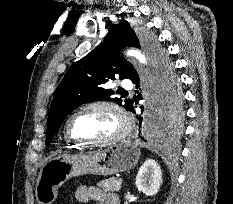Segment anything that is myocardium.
<instances>
[{"instance_id":"1","label":"myocardium","mask_w":233,"mask_h":204,"mask_svg":"<svg viewBox=\"0 0 233 204\" xmlns=\"http://www.w3.org/2000/svg\"><path fill=\"white\" fill-rule=\"evenodd\" d=\"M93 108H106L113 111L117 115V117L120 120L121 127L115 135L101 141L82 139L73 135L71 131V124L74 118L77 115ZM130 129H131V120L128 113L121 105L111 100H96L82 105L70 114V116L67 118L65 123V134L71 141L90 147H107L114 145L117 142L124 139L130 132Z\"/></svg>"}]
</instances>
